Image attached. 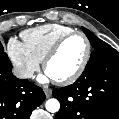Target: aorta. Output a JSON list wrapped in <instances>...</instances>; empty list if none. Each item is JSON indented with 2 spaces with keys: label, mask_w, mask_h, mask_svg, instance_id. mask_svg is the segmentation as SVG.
<instances>
[{
  "label": "aorta",
  "mask_w": 119,
  "mask_h": 119,
  "mask_svg": "<svg viewBox=\"0 0 119 119\" xmlns=\"http://www.w3.org/2000/svg\"><path fill=\"white\" fill-rule=\"evenodd\" d=\"M45 107L47 109V111L51 112V113H55L57 111H59L60 109V103L57 99L52 98L46 101Z\"/></svg>",
  "instance_id": "762f6f07"
}]
</instances>
